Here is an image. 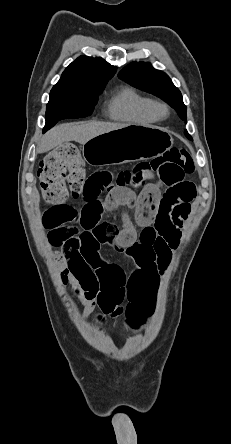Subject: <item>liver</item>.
Masks as SVG:
<instances>
[{"label": "liver", "instance_id": "6515ba94", "mask_svg": "<svg viewBox=\"0 0 231 444\" xmlns=\"http://www.w3.org/2000/svg\"><path fill=\"white\" fill-rule=\"evenodd\" d=\"M128 126L127 124L96 122L91 121L87 123L74 124L66 123L55 126L48 133H46L40 145L37 148L38 153H45L51 149L61 146L66 142L75 141L84 145L90 139L117 129Z\"/></svg>", "mask_w": 231, "mask_h": 444}]
</instances>
